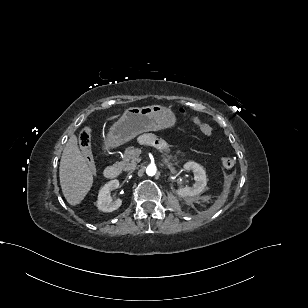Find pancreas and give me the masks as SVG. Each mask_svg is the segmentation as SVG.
Instances as JSON below:
<instances>
[{"instance_id":"pancreas-1","label":"pancreas","mask_w":308,"mask_h":308,"mask_svg":"<svg viewBox=\"0 0 308 308\" xmlns=\"http://www.w3.org/2000/svg\"><path fill=\"white\" fill-rule=\"evenodd\" d=\"M140 150L136 151L134 147H128L125 149L122 161L116 162L115 165L120 167L124 171L133 170L136 168V165L140 162L138 154Z\"/></svg>"}]
</instances>
